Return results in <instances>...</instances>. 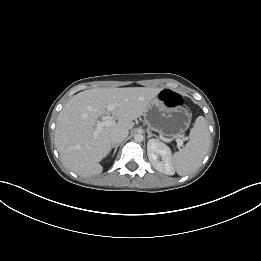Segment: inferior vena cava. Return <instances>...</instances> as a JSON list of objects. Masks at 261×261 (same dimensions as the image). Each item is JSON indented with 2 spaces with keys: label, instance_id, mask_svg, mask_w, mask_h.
I'll use <instances>...</instances> for the list:
<instances>
[{
  "label": "inferior vena cava",
  "instance_id": "1",
  "mask_svg": "<svg viewBox=\"0 0 261 261\" xmlns=\"http://www.w3.org/2000/svg\"><path fill=\"white\" fill-rule=\"evenodd\" d=\"M128 136V130H115L110 134V141L113 145L122 142Z\"/></svg>",
  "mask_w": 261,
  "mask_h": 261
}]
</instances>
